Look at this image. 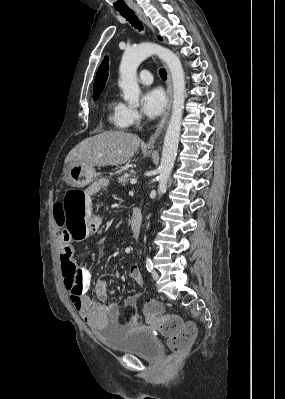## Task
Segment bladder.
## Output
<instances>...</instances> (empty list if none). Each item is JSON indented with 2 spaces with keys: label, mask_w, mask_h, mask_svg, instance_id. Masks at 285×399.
Listing matches in <instances>:
<instances>
[{
  "label": "bladder",
  "mask_w": 285,
  "mask_h": 399,
  "mask_svg": "<svg viewBox=\"0 0 285 399\" xmlns=\"http://www.w3.org/2000/svg\"><path fill=\"white\" fill-rule=\"evenodd\" d=\"M105 345L112 351L132 354L138 357L156 359L161 346L155 336L142 327H131L123 334L102 332Z\"/></svg>",
  "instance_id": "bladder-1"
}]
</instances>
